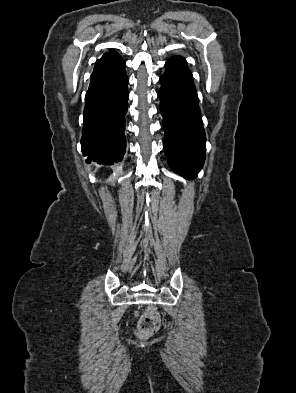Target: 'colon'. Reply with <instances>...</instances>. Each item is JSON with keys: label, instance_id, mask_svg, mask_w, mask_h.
<instances>
[{"label": "colon", "instance_id": "colon-1", "mask_svg": "<svg viewBox=\"0 0 296 393\" xmlns=\"http://www.w3.org/2000/svg\"><path fill=\"white\" fill-rule=\"evenodd\" d=\"M161 325L159 313L155 307H147L139 316L136 332L141 338L155 334Z\"/></svg>", "mask_w": 296, "mask_h": 393}]
</instances>
